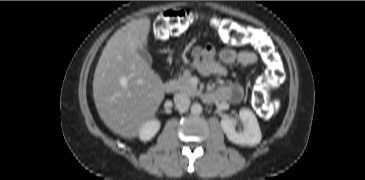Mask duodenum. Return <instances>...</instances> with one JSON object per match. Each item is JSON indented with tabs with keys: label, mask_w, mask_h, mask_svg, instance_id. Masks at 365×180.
<instances>
[{
	"label": "duodenum",
	"mask_w": 365,
	"mask_h": 180,
	"mask_svg": "<svg viewBox=\"0 0 365 180\" xmlns=\"http://www.w3.org/2000/svg\"><path fill=\"white\" fill-rule=\"evenodd\" d=\"M163 89H164L165 92L171 93V92L175 91V89H176V83L174 81H172V80L167 81L163 85Z\"/></svg>",
	"instance_id": "obj_1"
}]
</instances>
